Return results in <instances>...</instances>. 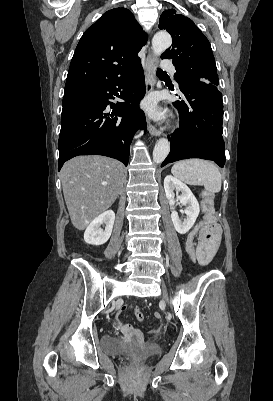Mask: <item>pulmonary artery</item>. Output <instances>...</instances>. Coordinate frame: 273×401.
<instances>
[{"mask_svg":"<svg viewBox=\"0 0 273 401\" xmlns=\"http://www.w3.org/2000/svg\"><path fill=\"white\" fill-rule=\"evenodd\" d=\"M162 63H163V65H164V66H163V69H164L165 72H172V71H174L175 66H174V64H172V63H173V60H172L171 57H164L163 60H162Z\"/></svg>","mask_w":273,"mask_h":401,"instance_id":"obj_1","label":"pulmonary artery"}]
</instances>
